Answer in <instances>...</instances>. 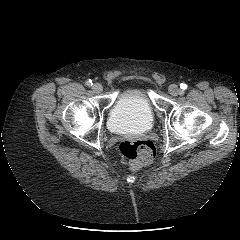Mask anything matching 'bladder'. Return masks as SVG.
<instances>
[{"label": "bladder", "mask_w": 240, "mask_h": 240, "mask_svg": "<svg viewBox=\"0 0 240 240\" xmlns=\"http://www.w3.org/2000/svg\"><path fill=\"white\" fill-rule=\"evenodd\" d=\"M155 119V109L149 95L134 87L122 92L108 114L112 132H143L149 130Z\"/></svg>", "instance_id": "bladder-1"}]
</instances>
